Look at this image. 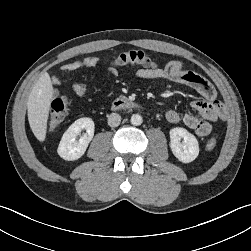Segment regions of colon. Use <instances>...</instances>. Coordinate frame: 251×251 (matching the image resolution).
Here are the masks:
<instances>
[{"instance_id":"colon-1","label":"colon","mask_w":251,"mask_h":251,"mask_svg":"<svg viewBox=\"0 0 251 251\" xmlns=\"http://www.w3.org/2000/svg\"><path fill=\"white\" fill-rule=\"evenodd\" d=\"M114 64L119 66L138 65L143 67H156V63L143 50H129L122 52L114 58ZM70 109V102L66 96L59 97L52 102L47 128L50 133L59 129L66 119ZM215 138L207 141L206 147L212 150L216 147Z\"/></svg>"}]
</instances>
